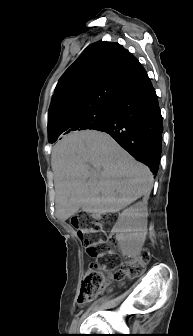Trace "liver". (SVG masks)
<instances>
[{
    "label": "liver",
    "instance_id": "6515ba94",
    "mask_svg": "<svg viewBox=\"0 0 193 336\" xmlns=\"http://www.w3.org/2000/svg\"><path fill=\"white\" fill-rule=\"evenodd\" d=\"M58 219L80 208L93 216L118 212L138 198L148 199L153 175L108 134L95 130L72 133L51 157Z\"/></svg>",
    "mask_w": 193,
    "mask_h": 336
}]
</instances>
